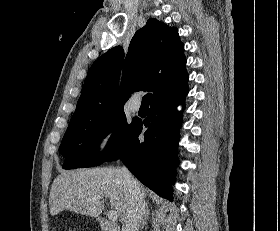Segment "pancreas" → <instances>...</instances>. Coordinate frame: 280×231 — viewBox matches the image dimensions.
Here are the masks:
<instances>
[{
  "label": "pancreas",
  "mask_w": 280,
  "mask_h": 231,
  "mask_svg": "<svg viewBox=\"0 0 280 231\" xmlns=\"http://www.w3.org/2000/svg\"><path fill=\"white\" fill-rule=\"evenodd\" d=\"M103 231H107V229H103Z\"/></svg>",
  "instance_id": "cf45deb5"
}]
</instances>
